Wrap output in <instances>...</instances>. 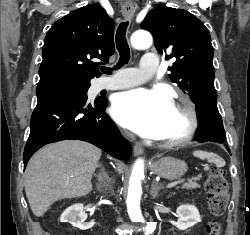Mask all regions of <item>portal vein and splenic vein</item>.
<instances>
[{
	"label": "portal vein and splenic vein",
	"instance_id": "portal-vein-and-splenic-vein-1",
	"mask_svg": "<svg viewBox=\"0 0 250 235\" xmlns=\"http://www.w3.org/2000/svg\"><path fill=\"white\" fill-rule=\"evenodd\" d=\"M184 182V180L183 179H181V180H178V181H175V182H172V183H170V184H168L167 185V188H173L174 186H176V185H178V184H181V183H183Z\"/></svg>",
	"mask_w": 250,
	"mask_h": 235
}]
</instances>
